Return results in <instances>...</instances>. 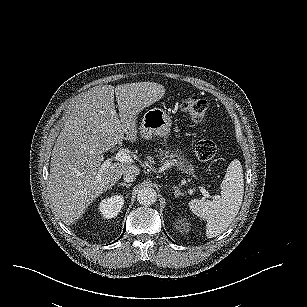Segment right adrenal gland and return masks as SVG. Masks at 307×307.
I'll list each match as a JSON object with an SVG mask.
<instances>
[{"mask_svg": "<svg viewBox=\"0 0 307 307\" xmlns=\"http://www.w3.org/2000/svg\"><path fill=\"white\" fill-rule=\"evenodd\" d=\"M131 183L130 184H126V183H119V185L118 186H123V187H126V188H129V187H131Z\"/></svg>", "mask_w": 307, "mask_h": 307, "instance_id": "right-adrenal-gland-1", "label": "right adrenal gland"}]
</instances>
